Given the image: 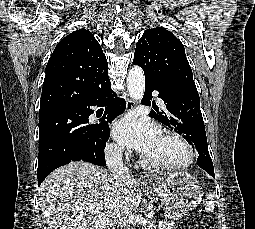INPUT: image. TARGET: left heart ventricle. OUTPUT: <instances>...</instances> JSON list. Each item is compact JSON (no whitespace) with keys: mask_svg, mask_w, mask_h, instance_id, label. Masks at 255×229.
I'll list each match as a JSON object with an SVG mask.
<instances>
[{"mask_svg":"<svg viewBox=\"0 0 255 229\" xmlns=\"http://www.w3.org/2000/svg\"><path fill=\"white\" fill-rule=\"evenodd\" d=\"M146 156L155 161L178 164L186 160L187 152L179 143L162 136L154 150Z\"/></svg>","mask_w":255,"mask_h":229,"instance_id":"b2bd125f","label":"left heart ventricle"}]
</instances>
